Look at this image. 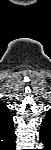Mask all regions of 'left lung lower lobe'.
<instances>
[{
	"label": "left lung lower lobe",
	"mask_w": 51,
	"mask_h": 150,
	"mask_svg": "<svg viewBox=\"0 0 51 150\" xmlns=\"http://www.w3.org/2000/svg\"><path fill=\"white\" fill-rule=\"evenodd\" d=\"M39 138L45 145H47L49 143L50 139L48 138V136H44L42 131L39 132Z\"/></svg>",
	"instance_id": "left-lung-lower-lobe-1"
}]
</instances>
